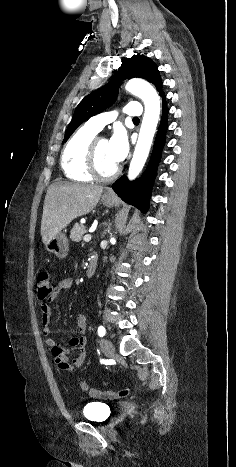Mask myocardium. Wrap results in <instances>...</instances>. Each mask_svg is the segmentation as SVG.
Masks as SVG:
<instances>
[{"mask_svg": "<svg viewBox=\"0 0 236 467\" xmlns=\"http://www.w3.org/2000/svg\"><path fill=\"white\" fill-rule=\"evenodd\" d=\"M101 138L95 137L92 142L89 145L88 151H87V171L89 174L101 181H109L114 179L120 172V166L117 165L110 173L108 174H103L97 164V146H98V141Z\"/></svg>", "mask_w": 236, "mask_h": 467, "instance_id": "1", "label": "myocardium"}]
</instances>
